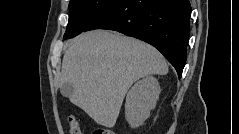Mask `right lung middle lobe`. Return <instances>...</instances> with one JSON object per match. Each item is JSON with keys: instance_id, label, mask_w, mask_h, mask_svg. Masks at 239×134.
<instances>
[{"instance_id": "obj_1", "label": "right lung middle lobe", "mask_w": 239, "mask_h": 134, "mask_svg": "<svg viewBox=\"0 0 239 134\" xmlns=\"http://www.w3.org/2000/svg\"><path fill=\"white\" fill-rule=\"evenodd\" d=\"M117 0H70L69 22L64 39L72 38L88 26V24L103 10Z\"/></svg>"}]
</instances>
